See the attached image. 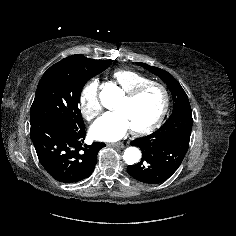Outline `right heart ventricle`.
I'll return each mask as SVG.
<instances>
[{
  "instance_id": "right-heart-ventricle-1",
  "label": "right heart ventricle",
  "mask_w": 236,
  "mask_h": 236,
  "mask_svg": "<svg viewBox=\"0 0 236 236\" xmlns=\"http://www.w3.org/2000/svg\"><path fill=\"white\" fill-rule=\"evenodd\" d=\"M111 77L124 92L151 81L144 74L131 69H117L112 72Z\"/></svg>"
}]
</instances>
